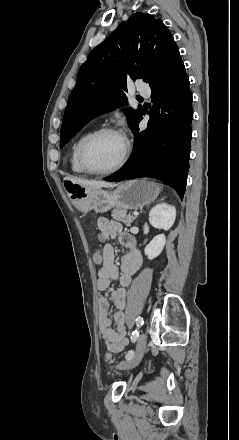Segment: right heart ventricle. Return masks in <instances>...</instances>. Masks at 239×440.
<instances>
[{"label":"right heart ventricle","instance_id":"1","mask_svg":"<svg viewBox=\"0 0 239 440\" xmlns=\"http://www.w3.org/2000/svg\"><path fill=\"white\" fill-rule=\"evenodd\" d=\"M90 133V130H86L83 131L82 133H80L76 139L73 141L71 148H70V153H69V164H70V168L71 170L76 173V174H87L82 167L79 164L78 161V150L80 147V144L82 143V141L84 140V138Z\"/></svg>","mask_w":239,"mask_h":440}]
</instances>
